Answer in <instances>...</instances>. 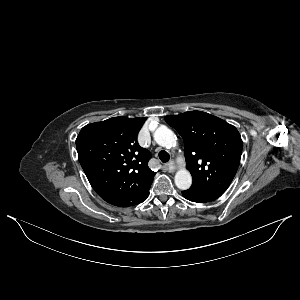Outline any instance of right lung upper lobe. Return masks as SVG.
Segmentation results:
<instances>
[{
	"label": "right lung upper lobe",
	"mask_w": 300,
	"mask_h": 300,
	"mask_svg": "<svg viewBox=\"0 0 300 300\" xmlns=\"http://www.w3.org/2000/svg\"><path fill=\"white\" fill-rule=\"evenodd\" d=\"M146 118L113 117L84 126L76 139L80 164L93 189L105 201L148 188L155 172L151 153L137 135Z\"/></svg>",
	"instance_id": "cb5924a9"
}]
</instances>
